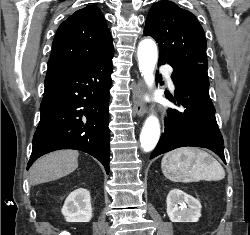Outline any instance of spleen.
<instances>
[{"label": "spleen", "instance_id": "1", "mask_svg": "<svg viewBox=\"0 0 250 235\" xmlns=\"http://www.w3.org/2000/svg\"><path fill=\"white\" fill-rule=\"evenodd\" d=\"M164 176L173 182L219 181L225 171L209 153L192 147H183L164 155L161 161Z\"/></svg>", "mask_w": 250, "mask_h": 235}]
</instances>
